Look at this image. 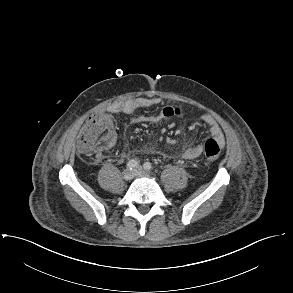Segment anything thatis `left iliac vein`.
Masks as SVG:
<instances>
[{
	"label": "left iliac vein",
	"mask_w": 293,
	"mask_h": 293,
	"mask_svg": "<svg viewBox=\"0 0 293 293\" xmlns=\"http://www.w3.org/2000/svg\"><path fill=\"white\" fill-rule=\"evenodd\" d=\"M134 174L136 176H148V174L144 171V169L142 167H137L135 170H134Z\"/></svg>",
	"instance_id": "obj_1"
}]
</instances>
